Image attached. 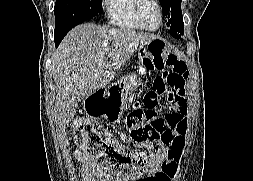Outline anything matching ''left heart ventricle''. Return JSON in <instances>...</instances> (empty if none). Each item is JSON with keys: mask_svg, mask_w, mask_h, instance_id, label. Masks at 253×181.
Masks as SVG:
<instances>
[{"mask_svg": "<svg viewBox=\"0 0 253 181\" xmlns=\"http://www.w3.org/2000/svg\"><path fill=\"white\" fill-rule=\"evenodd\" d=\"M141 16L144 24L149 28H155L159 24V12L155 4L151 1H146L141 9Z\"/></svg>", "mask_w": 253, "mask_h": 181, "instance_id": "obj_1", "label": "left heart ventricle"}]
</instances>
